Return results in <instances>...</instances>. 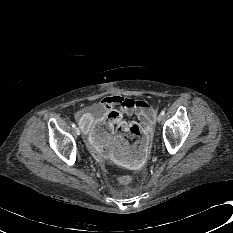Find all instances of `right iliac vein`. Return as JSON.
<instances>
[{
  "label": "right iliac vein",
  "mask_w": 233,
  "mask_h": 233,
  "mask_svg": "<svg viewBox=\"0 0 233 233\" xmlns=\"http://www.w3.org/2000/svg\"><path fill=\"white\" fill-rule=\"evenodd\" d=\"M75 133H76L77 135H80V129H79L78 127H75Z\"/></svg>",
  "instance_id": "1"
}]
</instances>
